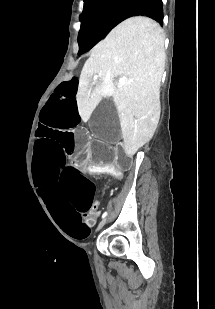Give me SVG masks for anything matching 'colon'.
Segmentation results:
<instances>
[{"mask_svg": "<svg viewBox=\"0 0 215 309\" xmlns=\"http://www.w3.org/2000/svg\"><path fill=\"white\" fill-rule=\"evenodd\" d=\"M95 163L99 166H101L100 162L95 161ZM110 174H112L114 177L119 178L121 175V168L118 164L114 162H110L106 168Z\"/></svg>", "mask_w": 215, "mask_h": 309, "instance_id": "5ec220e1", "label": "colon"}]
</instances>
